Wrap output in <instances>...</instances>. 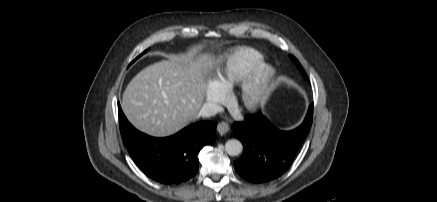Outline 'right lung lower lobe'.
I'll list each match as a JSON object with an SVG mask.
<instances>
[{
    "label": "right lung lower lobe",
    "mask_w": 437,
    "mask_h": 202,
    "mask_svg": "<svg viewBox=\"0 0 437 202\" xmlns=\"http://www.w3.org/2000/svg\"><path fill=\"white\" fill-rule=\"evenodd\" d=\"M122 138L137 166L151 179L163 184H180L199 170L197 155L216 140V123L192 124L165 138H155L136 130L118 105Z\"/></svg>",
    "instance_id": "right-lung-lower-lobe-1"
}]
</instances>
